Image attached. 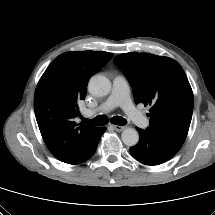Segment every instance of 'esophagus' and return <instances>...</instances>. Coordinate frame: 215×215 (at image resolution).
Returning <instances> with one entry per match:
<instances>
[{
	"label": "esophagus",
	"instance_id": "1",
	"mask_svg": "<svg viewBox=\"0 0 215 215\" xmlns=\"http://www.w3.org/2000/svg\"><path fill=\"white\" fill-rule=\"evenodd\" d=\"M116 131L120 132L126 129V126H120V125H113L112 126Z\"/></svg>",
	"mask_w": 215,
	"mask_h": 215
}]
</instances>
